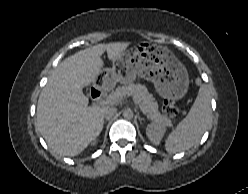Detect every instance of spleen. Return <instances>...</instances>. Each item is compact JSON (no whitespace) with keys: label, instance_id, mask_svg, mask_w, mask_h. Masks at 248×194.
<instances>
[{"label":"spleen","instance_id":"1","mask_svg":"<svg viewBox=\"0 0 248 194\" xmlns=\"http://www.w3.org/2000/svg\"><path fill=\"white\" fill-rule=\"evenodd\" d=\"M210 101L208 87L202 84L188 115L165 140V149L168 153L188 150L199 142L211 123Z\"/></svg>","mask_w":248,"mask_h":194}]
</instances>
